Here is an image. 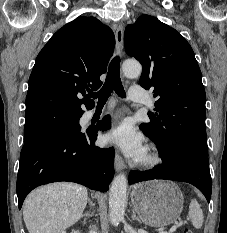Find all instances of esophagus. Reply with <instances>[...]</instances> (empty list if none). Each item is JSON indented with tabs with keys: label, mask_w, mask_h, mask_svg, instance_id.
I'll use <instances>...</instances> for the list:
<instances>
[{
	"label": "esophagus",
	"mask_w": 227,
	"mask_h": 233,
	"mask_svg": "<svg viewBox=\"0 0 227 233\" xmlns=\"http://www.w3.org/2000/svg\"><path fill=\"white\" fill-rule=\"evenodd\" d=\"M123 36H124V28L122 24H119L116 28L115 39H116V52L117 54H122L123 51ZM115 170L117 172L123 170L125 168V163L123 158L116 153L114 160Z\"/></svg>",
	"instance_id": "34e87169"
}]
</instances>
